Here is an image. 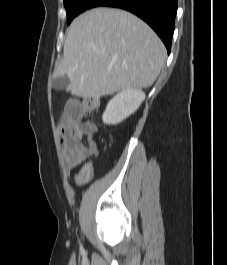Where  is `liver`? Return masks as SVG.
<instances>
[{"label": "liver", "mask_w": 227, "mask_h": 265, "mask_svg": "<svg viewBox=\"0 0 227 265\" xmlns=\"http://www.w3.org/2000/svg\"><path fill=\"white\" fill-rule=\"evenodd\" d=\"M166 57L164 44L141 19L123 10L97 8L70 24L53 78L66 75V91L77 97L112 95L151 86Z\"/></svg>", "instance_id": "1"}]
</instances>
